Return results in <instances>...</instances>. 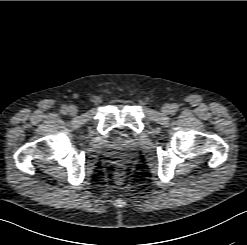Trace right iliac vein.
I'll return each instance as SVG.
<instances>
[{"label": "right iliac vein", "mask_w": 247, "mask_h": 245, "mask_svg": "<svg viewBox=\"0 0 247 245\" xmlns=\"http://www.w3.org/2000/svg\"><path fill=\"white\" fill-rule=\"evenodd\" d=\"M78 110H77V107L74 106V105H71L68 107V113L71 115V116H75L77 114Z\"/></svg>", "instance_id": "1"}]
</instances>
